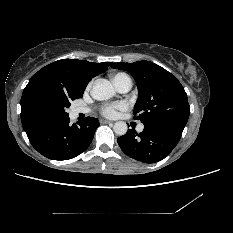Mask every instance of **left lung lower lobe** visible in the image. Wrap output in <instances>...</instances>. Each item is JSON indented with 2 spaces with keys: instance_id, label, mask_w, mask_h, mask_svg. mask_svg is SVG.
<instances>
[{
  "instance_id": "left-lung-lower-lobe-1",
  "label": "left lung lower lobe",
  "mask_w": 233,
  "mask_h": 233,
  "mask_svg": "<svg viewBox=\"0 0 233 233\" xmlns=\"http://www.w3.org/2000/svg\"><path fill=\"white\" fill-rule=\"evenodd\" d=\"M182 132L144 124L141 133L129 129L125 135L117 139V142L129 157L143 163H154L164 159L173 150Z\"/></svg>"
}]
</instances>
